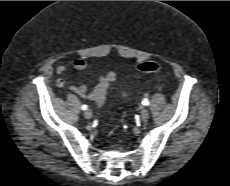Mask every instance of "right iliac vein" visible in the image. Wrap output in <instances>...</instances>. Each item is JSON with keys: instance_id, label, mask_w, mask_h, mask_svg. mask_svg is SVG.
<instances>
[{"instance_id": "right-iliac-vein-1", "label": "right iliac vein", "mask_w": 230, "mask_h": 186, "mask_svg": "<svg viewBox=\"0 0 230 186\" xmlns=\"http://www.w3.org/2000/svg\"><path fill=\"white\" fill-rule=\"evenodd\" d=\"M84 116L86 119H91L92 116H93V113L90 109L86 110L85 113H84Z\"/></svg>"}]
</instances>
